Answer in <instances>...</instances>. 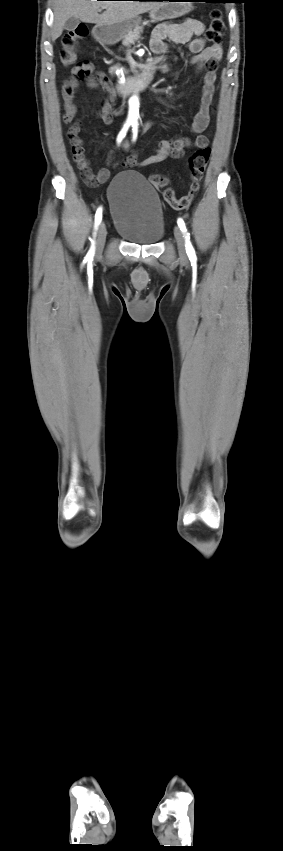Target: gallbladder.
Wrapping results in <instances>:
<instances>
[{
    "instance_id": "obj_1",
    "label": "gallbladder",
    "mask_w": 283,
    "mask_h": 851,
    "mask_svg": "<svg viewBox=\"0 0 283 851\" xmlns=\"http://www.w3.org/2000/svg\"><path fill=\"white\" fill-rule=\"evenodd\" d=\"M79 23H80V19H78L76 17H70L66 21V23L64 25V29L68 30V31H72L79 25Z\"/></svg>"
}]
</instances>
